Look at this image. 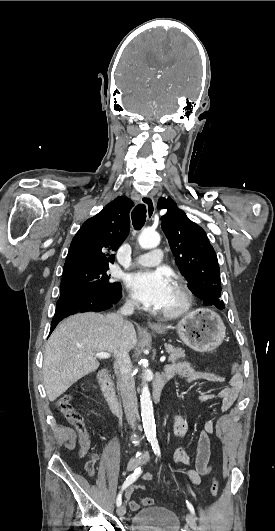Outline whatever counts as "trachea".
<instances>
[{"instance_id":"obj_1","label":"trachea","mask_w":275,"mask_h":531,"mask_svg":"<svg viewBox=\"0 0 275 531\" xmlns=\"http://www.w3.org/2000/svg\"><path fill=\"white\" fill-rule=\"evenodd\" d=\"M132 224L136 230L141 229L146 221V207L138 204L132 211Z\"/></svg>"}]
</instances>
